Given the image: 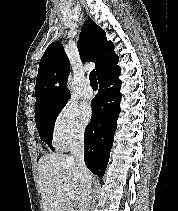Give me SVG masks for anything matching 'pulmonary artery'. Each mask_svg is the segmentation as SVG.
I'll return each mask as SVG.
<instances>
[{
	"label": "pulmonary artery",
	"mask_w": 178,
	"mask_h": 211,
	"mask_svg": "<svg viewBox=\"0 0 178 211\" xmlns=\"http://www.w3.org/2000/svg\"><path fill=\"white\" fill-rule=\"evenodd\" d=\"M82 94L85 98L91 99L93 97V89L91 83L86 81L83 85Z\"/></svg>",
	"instance_id": "1"
}]
</instances>
